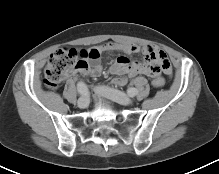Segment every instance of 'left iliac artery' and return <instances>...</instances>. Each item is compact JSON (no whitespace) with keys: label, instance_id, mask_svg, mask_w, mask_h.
Masks as SVG:
<instances>
[{"label":"left iliac artery","instance_id":"1","mask_svg":"<svg viewBox=\"0 0 219 174\" xmlns=\"http://www.w3.org/2000/svg\"><path fill=\"white\" fill-rule=\"evenodd\" d=\"M127 93H128L129 96L133 97V96H135V95L138 93V91H137L136 88L131 87V88H129V89L127 90Z\"/></svg>","mask_w":219,"mask_h":174}]
</instances>
